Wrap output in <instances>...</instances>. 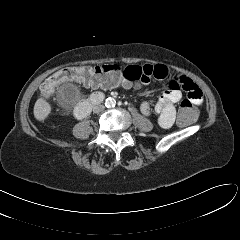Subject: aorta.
<instances>
[{"label":"aorta","mask_w":240,"mask_h":240,"mask_svg":"<svg viewBox=\"0 0 240 240\" xmlns=\"http://www.w3.org/2000/svg\"><path fill=\"white\" fill-rule=\"evenodd\" d=\"M115 104H116V101L114 98L109 97L105 100V106L108 108L114 107Z\"/></svg>","instance_id":"aorta-1"}]
</instances>
